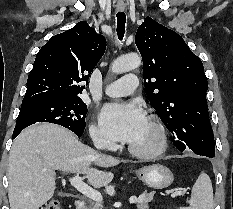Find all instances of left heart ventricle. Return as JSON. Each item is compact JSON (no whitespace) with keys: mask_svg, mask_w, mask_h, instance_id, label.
Wrapping results in <instances>:
<instances>
[{"mask_svg":"<svg viewBox=\"0 0 233 209\" xmlns=\"http://www.w3.org/2000/svg\"><path fill=\"white\" fill-rule=\"evenodd\" d=\"M157 143V134L150 122L147 120L143 129L137 138L130 144L137 149H150L154 147Z\"/></svg>","mask_w":233,"mask_h":209,"instance_id":"b2bd125f","label":"left heart ventricle"}]
</instances>
